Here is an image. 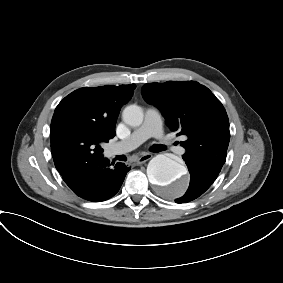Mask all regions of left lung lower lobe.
I'll return each instance as SVG.
<instances>
[{
  "instance_id": "obj_1",
  "label": "left lung lower lobe",
  "mask_w": 283,
  "mask_h": 283,
  "mask_svg": "<svg viewBox=\"0 0 283 283\" xmlns=\"http://www.w3.org/2000/svg\"><path fill=\"white\" fill-rule=\"evenodd\" d=\"M190 172V185L184 196L175 200L176 203L189 202L203 194L215 181L218 174L201 169L195 163L185 160Z\"/></svg>"
}]
</instances>
